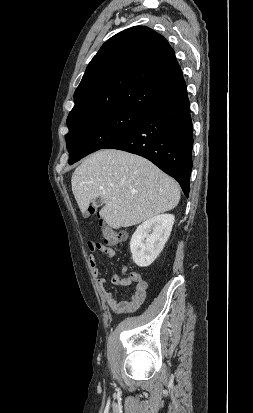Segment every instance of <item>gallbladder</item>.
<instances>
[{
    "label": "gallbladder",
    "instance_id": "obj_1",
    "mask_svg": "<svg viewBox=\"0 0 253 413\" xmlns=\"http://www.w3.org/2000/svg\"><path fill=\"white\" fill-rule=\"evenodd\" d=\"M94 207H99L103 204V200L101 198H96L92 201Z\"/></svg>",
    "mask_w": 253,
    "mask_h": 413
}]
</instances>
